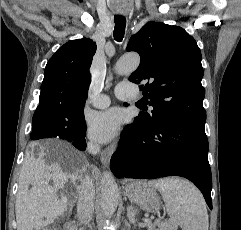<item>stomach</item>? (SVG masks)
Listing matches in <instances>:
<instances>
[{"label":"stomach","instance_id":"0dacf381","mask_svg":"<svg viewBox=\"0 0 241 230\" xmlns=\"http://www.w3.org/2000/svg\"><path fill=\"white\" fill-rule=\"evenodd\" d=\"M125 194L141 209L156 213L161 208V200L155 188L145 181H132L125 185Z\"/></svg>","mask_w":241,"mask_h":230}]
</instances>
